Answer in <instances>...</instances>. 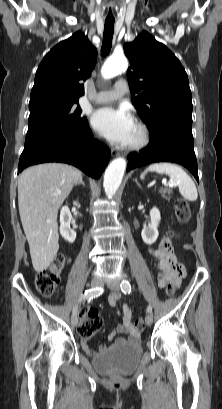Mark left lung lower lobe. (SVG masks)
Instances as JSON below:
<instances>
[{
  "mask_svg": "<svg viewBox=\"0 0 222 409\" xmlns=\"http://www.w3.org/2000/svg\"><path fill=\"white\" fill-rule=\"evenodd\" d=\"M153 162H174L198 180V166L191 128L166 125L150 134V144L139 155L128 156L127 171Z\"/></svg>",
  "mask_w": 222,
  "mask_h": 409,
  "instance_id": "1",
  "label": "left lung lower lobe"
}]
</instances>
